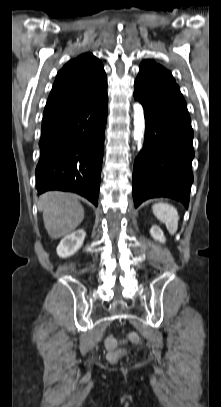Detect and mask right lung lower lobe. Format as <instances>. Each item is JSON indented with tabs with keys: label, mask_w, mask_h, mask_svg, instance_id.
Returning a JSON list of instances; mask_svg holds the SVG:
<instances>
[{
	"label": "right lung lower lobe",
	"mask_w": 221,
	"mask_h": 407,
	"mask_svg": "<svg viewBox=\"0 0 221 407\" xmlns=\"http://www.w3.org/2000/svg\"><path fill=\"white\" fill-rule=\"evenodd\" d=\"M107 103L106 90L82 104L43 114L35 171L39 193L75 192L98 205Z\"/></svg>",
	"instance_id": "obj_1"
}]
</instances>
